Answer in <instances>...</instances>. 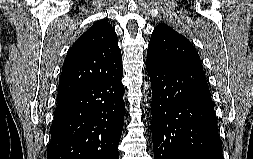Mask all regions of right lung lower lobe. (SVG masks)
Listing matches in <instances>:
<instances>
[{
	"mask_svg": "<svg viewBox=\"0 0 253 159\" xmlns=\"http://www.w3.org/2000/svg\"><path fill=\"white\" fill-rule=\"evenodd\" d=\"M118 73L58 102L47 159H119L125 104Z\"/></svg>",
	"mask_w": 253,
	"mask_h": 159,
	"instance_id": "98d812e1",
	"label": "right lung lower lobe"
}]
</instances>
